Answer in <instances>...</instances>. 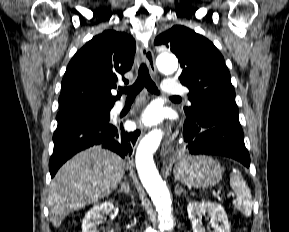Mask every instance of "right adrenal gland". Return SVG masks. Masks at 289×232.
I'll return each instance as SVG.
<instances>
[{
  "label": "right adrenal gland",
  "instance_id": "obj_1",
  "mask_svg": "<svg viewBox=\"0 0 289 232\" xmlns=\"http://www.w3.org/2000/svg\"><path fill=\"white\" fill-rule=\"evenodd\" d=\"M122 192H124L126 194L130 193V185L127 182L126 178H124V182L121 183V188L118 190V193H122Z\"/></svg>",
  "mask_w": 289,
  "mask_h": 232
}]
</instances>
